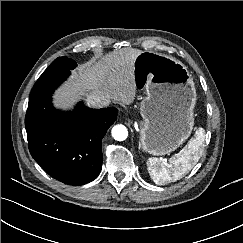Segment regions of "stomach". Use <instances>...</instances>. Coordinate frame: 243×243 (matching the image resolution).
Segmentation results:
<instances>
[{
    "label": "stomach",
    "instance_id": "stomach-1",
    "mask_svg": "<svg viewBox=\"0 0 243 243\" xmlns=\"http://www.w3.org/2000/svg\"><path fill=\"white\" fill-rule=\"evenodd\" d=\"M134 77L137 87L147 92L140 108V147L155 156L169 154L194 126L197 95L192 76L180 61L143 51L134 61Z\"/></svg>",
    "mask_w": 243,
    "mask_h": 243
}]
</instances>
